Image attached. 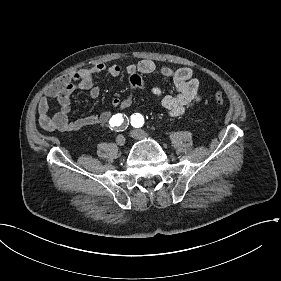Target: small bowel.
I'll return each mask as SVG.
<instances>
[{
  "label": "small bowel",
  "mask_w": 281,
  "mask_h": 281,
  "mask_svg": "<svg viewBox=\"0 0 281 281\" xmlns=\"http://www.w3.org/2000/svg\"><path fill=\"white\" fill-rule=\"evenodd\" d=\"M129 76L132 90L144 88L141 75L152 74L156 71V65L152 60H142L132 63L125 68ZM123 70L118 65L107 66L98 63L90 68H85L59 77L46 91L38 103L39 124L46 131L73 132L83 128L107 123L113 113L109 110L97 115L85 116L77 119H69L71 110V96L76 90H86L90 98L97 99L100 89L94 84L97 74L106 73L112 77H119ZM160 73L173 80L176 93L174 95H163L158 88L152 93L156 96L160 107L171 117H178L199 102L198 95L199 80L189 68H178L173 70L169 67L160 69ZM49 99H56L60 110L55 114L50 113ZM132 95L124 98H113L111 105L115 109L125 110L131 106Z\"/></svg>",
  "instance_id": "1"
}]
</instances>
